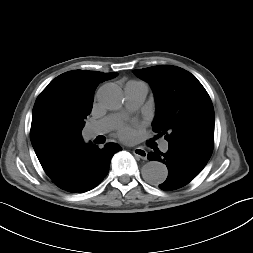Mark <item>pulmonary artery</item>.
I'll use <instances>...</instances> for the list:
<instances>
[{"label":"pulmonary artery","mask_w":253,"mask_h":253,"mask_svg":"<svg viewBox=\"0 0 253 253\" xmlns=\"http://www.w3.org/2000/svg\"><path fill=\"white\" fill-rule=\"evenodd\" d=\"M148 92V87L142 82H128L125 86V106L128 111L138 109L143 103ZM121 118V115L114 114L109 115L97 122L88 125L84 134L86 138L91 139L98 135L105 134L108 132ZM161 150L166 152L169 147V143L165 140L161 143Z\"/></svg>","instance_id":"e3ab8cb5"}]
</instances>
